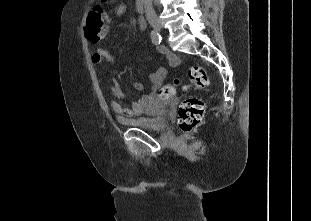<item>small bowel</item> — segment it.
Instances as JSON below:
<instances>
[{"instance_id":"obj_1","label":"small bowel","mask_w":311,"mask_h":221,"mask_svg":"<svg viewBox=\"0 0 311 221\" xmlns=\"http://www.w3.org/2000/svg\"><path fill=\"white\" fill-rule=\"evenodd\" d=\"M123 11L124 6L118 5L115 12L116 16L121 15ZM160 51L166 55V58L170 63H173L175 61V56L169 53L166 48L161 47ZM92 60L95 65L100 67L106 63L111 64L115 61L114 57L111 55L110 51L106 47L97 48L92 56ZM104 75L108 83L109 92L112 96V99L110 101V107L119 118H130L144 112L146 104L152 98V95L142 96L138 100L132 102L128 107H125L122 104L124 96L119 87L117 79L113 75L106 72L104 73ZM166 75L167 70L165 67H159L158 69L150 73L149 79L153 85L154 91L162 86ZM136 87L137 89H142L141 84H137Z\"/></svg>"}]
</instances>
